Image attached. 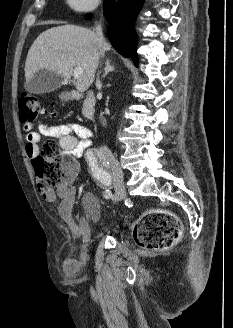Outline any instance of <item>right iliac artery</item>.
<instances>
[{
	"instance_id": "right-iliac-artery-1",
	"label": "right iliac artery",
	"mask_w": 233,
	"mask_h": 328,
	"mask_svg": "<svg viewBox=\"0 0 233 328\" xmlns=\"http://www.w3.org/2000/svg\"><path fill=\"white\" fill-rule=\"evenodd\" d=\"M86 160L90 166L91 172L98 186L104 188V197L106 199L112 197V193L109 190L111 185V176L108 172L109 163L104 158L102 152L98 149L89 150L86 153Z\"/></svg>"
}]
</instances>
